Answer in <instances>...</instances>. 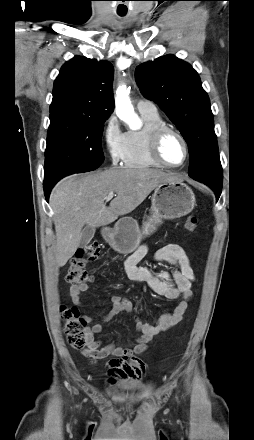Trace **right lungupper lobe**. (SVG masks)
Returning a JSON list of instances; mask_svg holds the SVG:
<instances>
[{
    "instance_id": "1",
    "label": "right lung upper lobe",
    "mask_w": 254,
    "mask_h": 440,
    "mask_svg": "<svg viewBox=\"0 0 254 440\" xmlns=\"http://www.w3.org/2000/svg\"><path fill=\"white\" fill-rule=\"evenodd\" d=\"M112 79L110 62L75 56L55 79L50 114L66 111L107 118L114 109Z\"/></svg>"
}]
</instances>
